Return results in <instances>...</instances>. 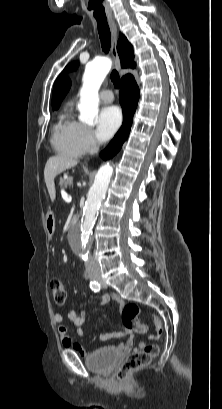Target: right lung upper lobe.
I'll return each instance as SVG.
<instances>
[{
  "label": "right lung upper lobe",
  "mask_w": 222,
  "mask_h": 409,
  "mask_svg": "<svg viewBox=\"0 0 222 409\" xmlns=\"http://www.w3.org/2000/svg\"><path fill=\"white\" fill-rule=\"evenodd\" d=\"M117 51L121 60V67L122 68H134V54L132 45L128 42L127 38L123 35H120L118 43H117ZM131 76L127 74L123 76L122 81H124L127 77ZM71 86V82L69 78L63 77L61 78L53 91L52 97V107L54 109H58L61 101L64 99L65 95L68 93Z\"/></svg>",
  "instance_id": "1"
}]
</instances>
